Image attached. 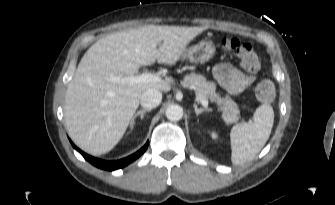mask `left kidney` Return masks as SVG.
<instances>
[{
  "instance_id": "1",
  "label": "left kidney",
  "mask_w": 335,
  "mask_h": 205,
  "mask_svg": "<svg viewBox=\"0 0 335 205\" xmlns=\"http://www.w3.org/2000/svg\"><path fill=\"white\" fill-rule=\"evenodd\" d=\"M211 137H212L213 140H216V139H218V134L215 131H212L211 132Z\"/></svg>"
}]
</instances>
